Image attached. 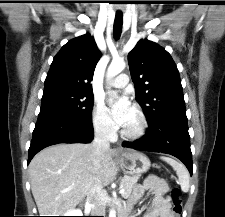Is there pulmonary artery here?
<instances>
[{
    "label": "pulmonary artery",
    "instance_id": "1",
    "mask_svg": "<svg viewBox=\"0 0 225 217\" xmlns=\"http://www.w3.org/2000/svg\"><path fill=\"white\" fill-rule=\"evenodd\" d=\"M128 83H129V77L126 74H120L111 82V85L116 88H123L127 86Z\"/></svg>",
    "mask_w": 225,
    "mask_h": 217
}]
</instances>
